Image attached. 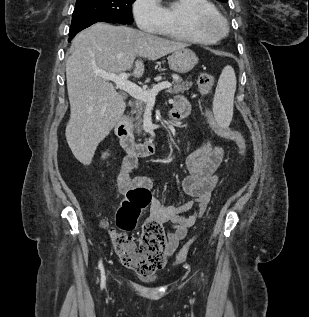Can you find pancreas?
Returning a JSON list of instances; mask_svg holds the SVG:
<instances>
[{
    "label": "pancreas",
    "mask_w": 309,
    "mask_h": 317,
    "mask_svg": "<svg viewBox=\"0 0 309 317\" xmlns=\"http://www.w3.org/2000/svg\"><path fill=\"white\" fill-rule=\"evenodd\" d=\"M192 86V82L190 81H183V79L179 76H175L174 80L172 81L171 87L167 89V92L170 94H178L184 93L185 91L189 90ZM146 110V103L141 100H137L131 110V114L134 116L131 118L133 122V126L135 128V132L138 135H144L143 131V115Z\"/></svg>",
    "instance_id": "pancreas-1"
}]
</instances>
